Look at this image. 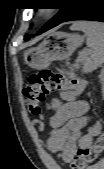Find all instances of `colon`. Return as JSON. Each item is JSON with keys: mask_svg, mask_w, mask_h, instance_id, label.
<instances>
[{"mask_svg": "<svg viewBox=\"0 0 104 169\" xmlns=\"http://www.w3.org/2000/svg\"><path fill=\"white\" fill-rule=\"evenodd\" d=\"M29 84L24 88L30 112L40 114L46 96L55 91L74 90L82 93L85 82L75 77H69L63 72L43 69L29 76ZM103 150V138L99 137L92 145L80 148L71 162V169H86L93 163Z\"/></svg>", "mask_w": 104, "mask_h": 169, "instance_id": "5ec220e1", "label": "colon"}]
</instances>
